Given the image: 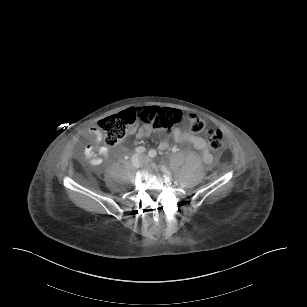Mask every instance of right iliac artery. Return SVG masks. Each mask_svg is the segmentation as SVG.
Instances as JSON below:
<instances>
[{"label": "right iliac artery", "instance_id": "82829eb1", "mask_svg": "<svg viewBox=\"0 0 307 307\" xmlns=\"http://www.w3.org/2000/svg\"><path fill=\"white\" fill-rule=\"evenodd\" d=\"M136 152H137V153H144V152H145V148L139 146V147L136 148Z\"/></svg>", "mask_w": 307, "mask_h": 307}]
</instances>
